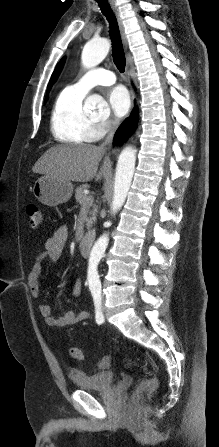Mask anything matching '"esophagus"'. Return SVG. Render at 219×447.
<instances>
[{"mask_svg":"<svg viewBox=\"0 0 219 447\" xmlns=\"http://www.w3.org/2000/svg\"><path fill=\"white\" fill-rule=\"evenodd\" d=\"M108 1L110 3V6H111V8H112L116 18H117V22H118V25H119L121 37H122L123 43L125 45V48H127V39H126L125 30H124L123 22H122V19H121L118 7H117V5L115 3V0H108ZM126 70H127V74H129V62H127ZM136 105H137L136 94H135L134 91H132V106L135 107Z\"/></svg>","mask_w":219,"mask_h":447,"instance_id":"obj_1","label":"esophagus"}]
</instances>
